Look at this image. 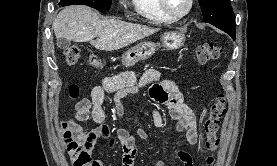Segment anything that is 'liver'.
Instances as JSON below:
<instances>
[{"label":"liver","instance_id":"obj_1","mask_svg":"<svg viewBox=\"0 0 277 166\" xmlns=\"http://www.w3.org/2000/svg\"><path fill=\"white\" fill-rule=\"evenodd\" d=\"M57 39L90 42L96 49L114 51L135 43L159 31L145 25L117 19H103L90 7L72 5L56 16L53 25ZM95 37H98L94 40Z\"/></svg>","mask_w":277,"mask_h":166}]
</instances>
